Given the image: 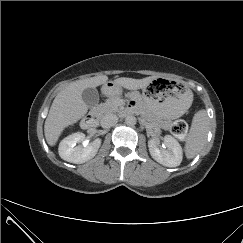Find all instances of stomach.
I'll list each match as a JSON object with an SVG mask.
<instances>
[{
    "label": "stomach",
    "mask_w": 243,
    "mask_h": 243,
    "mask_svg": "<svg viewBox=\"0 0 243 243\" xmlns=\"http://www.w3.org/2000/svg\"><path fill=\"white\" fill-rule=\"evenodd\" d=\"M114 82H107L102 90L106 95H114L117 89ZM142 99L149 113L164 120L181 117L191 106L192 91L181 82H171L165 78L149 82L142 90Z\"/></svg>",
    "instance_id": "0dacf381"
}]
</instances>
